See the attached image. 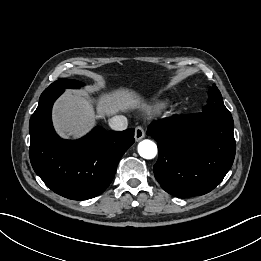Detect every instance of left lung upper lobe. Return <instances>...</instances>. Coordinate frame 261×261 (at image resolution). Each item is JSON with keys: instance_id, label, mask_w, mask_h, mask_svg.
Returning a JSON list of instances; mask_svg holds the SVG:
<instances>
[{"instance_id": "left-lung-upper-lobe-1", "label": "left lung upper lobe", "mask_w": 261, "mask_h": 261, "mask_svg": "<svg viewBox=\"0 0 261 261\" xmlns=\"http://www.w3.org/2000/svg\"><path fill=\"white\" fill-rule=\"evenodd\" d=\"M209 99L207 105L203 107L202 113L218 116H231L229 110L225 107L220 91L213 85L209 89Z\"/></svg>"}]
</instances>
